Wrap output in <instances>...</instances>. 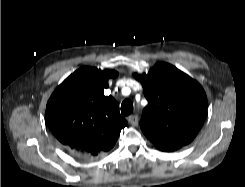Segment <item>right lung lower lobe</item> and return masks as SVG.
<instances>
[{"label": "right lung lower lobe", "instance_id": "obj_1", "mask_svg": "<svg viewBox=\"0 0 245 187\" xmlns=\"http://www.w3.org/2000/svg\"><path fill=\"white\" fill-rule=\"evenodd\" d=\"M68 150H69V149H68ZM70 152L73 153L74 155L78 156V157H81V158H88L87 156H85V155H83V154H81V153H77V152L71 151V150H70Z\"/></svg>", "mask_w": 245, "mask_h": 187}]
</instances>
